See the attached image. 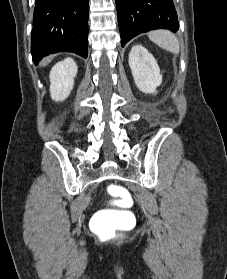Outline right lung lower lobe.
<instances>
[{
  "mask_svg": "<svg viewBox=\"0 0 227 279\" xmlns=\"http://www.w3.org/2000/svg\"><path fill=\"white\" fill-rule=\"evenodd\" d=\"M31 54L37 64L57 52L88 55V0H35Z\"/></svg>",
  "mask_w": 227,
  "mask_h": 279,
  "instance_id": "obj_1",
  "label": "right lung lower lobe"
}]
</instances>
